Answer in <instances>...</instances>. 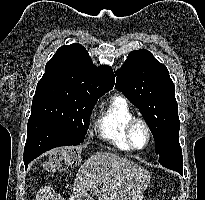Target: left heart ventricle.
<instances>
[{"label": "left heart ventricle", "mask_w": 205, "mask_h": 200, "mask_svg": "<svg viewBox=\"0 0 205 200\" xmlns=\"http://www.w3.org/2000/svg\"><path fill=\"white\" fill-rule=\"evenodd\" d=\"M133 142L137 147H143L147 143V132L143 125L138 124L134 127L133 133Z\"/></svg>", "instance_id": "obj_1"}]
</instances>
